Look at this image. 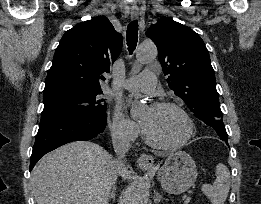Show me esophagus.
I'll return each instance as SVG.
<instances>
[{"instance_id": "esophagus-1", "label": "esophagus", "mask_w": 261, "mask_h": 204, "mask_svg": "<svg viewBox=\"0 0 261 204\" xmlns=\"http://www.w3.org/2000/svg\"><path fill=\"white\" fill-rule=\"evenodd\" d=\"M130 15L133 20L137 19L139 15L138 6L133 5L131 7ZM137 162L142 169H151L154 166V158L152 155H148V154H141Z\"/></svg>"}]
</instances>
